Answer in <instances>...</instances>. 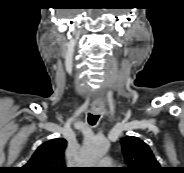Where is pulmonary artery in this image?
<instances>
[{"label":"pulmonary artery","instance_id":"pulmonary-artery-1","mask_svg":"<svg viewBox=\"0 0 184 173\" xmlns=\"http://www.w3.org/2000/svg\"><path fill=\"white\" fill-rule=\"evenodd\" d=\"M98 164L101 166H104V167H108V166H111L113 164V162H112L111 158L105 157L102 160H100Z\"/></svg>","mask_w":184,"mask_h":173}]
</instances>
